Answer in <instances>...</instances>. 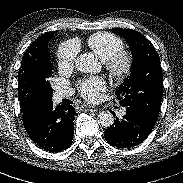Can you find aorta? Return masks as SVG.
<instances>
[{"label": "aorta", "mask_w": 183, "mask_h": 183, "mask_svg": "<svg viewBox=\"0 0 183 183\" xmlns=\"http://www.w3.org/2000/svg\"><path fill=\"white\" fill-rule=\"evenodd\" d=\"M76 69L83 73H98L101 66L92 53L80 54L75 61ZM98 123L104 128H109L114 123L113 114L109 111L101 112L98 115Z\"/></svg>", "instance_id": "762f6f07"}]
</instances>
